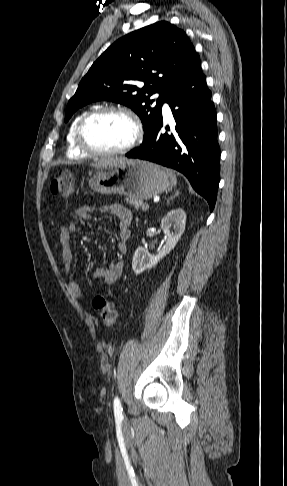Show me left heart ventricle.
<instances>
[{"instance_id": "left-heart-ventricle-1", "label": "left heart ventricle", "mask_w": 287, "mask_h": 486, "mask_svg": "<svg viewBox=\"0 0 287 486\" xmlns=\"http://www.w3.org/2000/svg\"><path fill=\"white\" fill-rule=\"evenodd\" d=\"M133 136L130 121L118 113L100 115L87 123L84 139L98 151H112L125 146Z\"/></svg>"}]
</instances>
